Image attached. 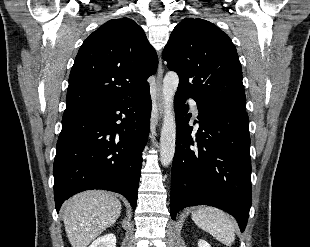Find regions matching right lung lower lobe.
Listing matches in <instances>:
<instances>
[{
	"instance_id": "1",
	"label": "right lung lower lobe",
	"mask_w": 310,
	"mask_h": 247,
	"mask_svg": "<svg viewBox=\"0 0 310 247\" xmlns=\"http://www.w3.org/2000/svg\"><path fill=\"white\" fill-rule=\"evenodd\" d=\"M150 115L149 88L65 109L53 169L57 212L66 199L89 189L120 193L135 209Z\"/></svg>"
}]
</instances>
